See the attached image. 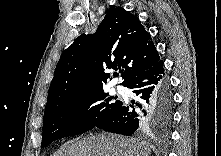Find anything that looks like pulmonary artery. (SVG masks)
I'll return each instance as SVG.
<instances>
[{
    "label": "pulmonary artery",
    "mask_w": 221,
    "mask_h": 156,
    "mask_svg": "<svg viewBox=\"0 0 221 156\" xmlns=\"http://www.w3.org/2000/svg\"><path fill=\"white\" fill-rule=\"evenodd\" d=\"M115 89L118 91V92H121L123 90V88L121 86H116Z\"/></svg>",
    "instance_id": "pulmonary-artery-1"
}]
</instances>
